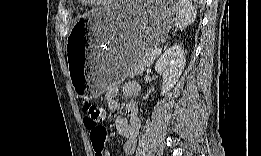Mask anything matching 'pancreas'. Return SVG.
I'll return each mask as SVG.
<instances>
[{
	"label": "pancreas",
	"instance_id": "cf45deb5",
	"mask_svg": "<svg viewBox=\"0 0 261 156\" xmlns=\"http://www.w3.org/2000/svg\"><path fill=\"white\" fill-rule=\"evenodd\" d=\"M153 50L146 52L130 70L128 71V76L140 75L145 69L151 66L154 62L155 57L151 56Z\"/></svg>",
	"mask_w": 261,
	"mask_h": 156
}]
</instances>
